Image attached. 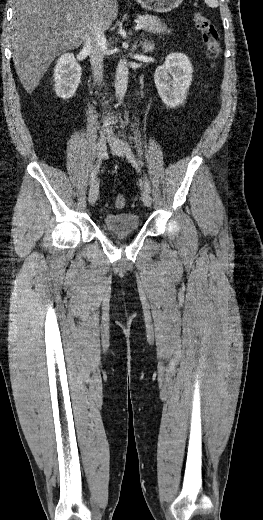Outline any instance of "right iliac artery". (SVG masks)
I'll return each mask as SVG.
<instances>
[{"label":"right iliac artery","instance_id":"1","mask_svg":"<svg viewBox=\"0 0 263 520\" xmlns=\"http://www.w3.org/2000/svg\"><path fill=\"white\" fill-rule=\"evenodd\" d=\"M101 164H102V158L97 161V163H96V165H95V167H94V169H93V171L91 173L90 184H92L94 182Z\"/></svg>","mask_w":263,"mask_h":520}]
</instances>
